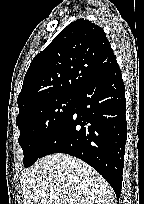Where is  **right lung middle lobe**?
Listing matches in <instances>:
<instances>
[{"label": "right lung middle lobe", "mask_w": 144, "mask_h": 204, "mask_svg": "<svg viewBox=\"0 0 144 204\" xmlns=\"http://www.w3.org/2000/svg\"><path fill=\"white\" fill-rule=\"evenodd\" d=\"M74 95L56 96L18 115L19 144L23 149L24 167L42 157L43 150L71 112Z\"/></svg>", "instance_id": "dd1d6c3e"}]
</instances>
